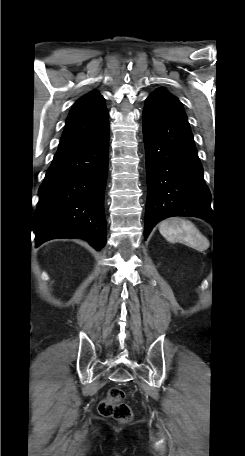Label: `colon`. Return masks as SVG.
Returning a JSON list of instances; mask_svg holds the SVG:
<instances>
[{
    "instance_id": "1",
    "label": "colon",
    "mask_w": 245,
    "mask_h": 456,
    "mask_svg": "<svg viewBox=\"0 0 245 456\" xmlns=\"http://www.w3.org/2000/svg\"><path fill=\"white\" fill-rule=\"evenodd\" d=\"M125 393L119 387L108 390L105 398L98 405V411L102 416L112 417L121 422H127L132 418L131 408L124 402Z\"/></svg>"
}]
</instances>
